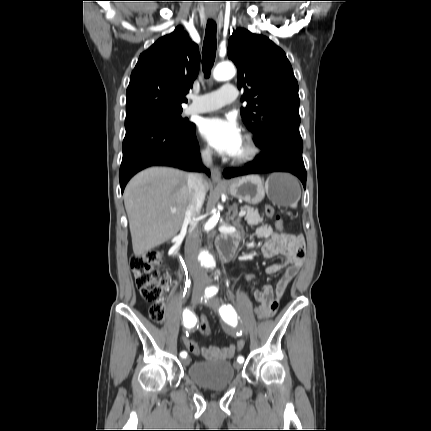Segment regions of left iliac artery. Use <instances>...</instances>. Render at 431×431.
I'll return each instance as SVG.
<instances>
[{"instance_id": "44dca946", "label": "left iliac artery", "mask_w": 431, "mask_h": 431, "mask_svg": "<svg viewBox=\"0 0 431 431\" xmlns=\"http://www.w3.org/2000/svg\"><path fill=\"white\" fill-rule=\"evenodd\" d=\"M217 289L213 288L212 292H211V296H213L214 294H216ZM210 296V297H211ZM219 313L221 315V317L228 321L229 323L235 325L237 323V313L234 310V308L230 305V304H223L221 305V307L219 308ZM237 361L239 363H243L244 362V358L242 356H239Z\"/></svg>"}]
</instances>
